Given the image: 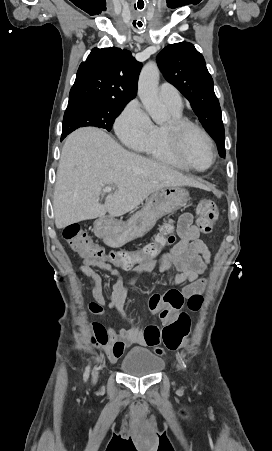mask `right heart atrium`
Instances as JSON below:
<instances>
[{
	"label": "right heart atrium",
	"instance_id": "1",
	"mask_svg": "<svg viewBox=\"0 0 272 451\" xmlns=\"http://www.w3.org/2000/svg\"><path fill=\"white\" fill-rule=\"evenodd\" d=\"M120 137L130 145L143 143L150 135L153 124L149 115L136 101L130 102L115 124Z\"/></svg>",
	"mask_w": 272,
	"mask_h": 451
}]
</instances>
